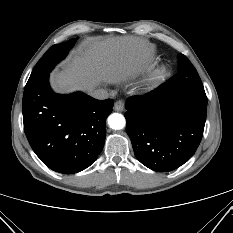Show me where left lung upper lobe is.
Listing matches in <instances>:
<instances>
[{
	"instance_id": "1",
	"label": "left lung upper lobe",
	"mask_w": 233,
	"mask_h": 233,
	"mask_svg": "<svg viewBox=\"0 0 233 233\" xmlns=\"http://www.w3.org/2000/svg\"><path fill=\"white\" fill-rule=\"evenodd\" d=\"M178 58V73L170 78L167 83L170 86L181 89L205 92L203 84L194 66L183 54H179Z\"/></svg>"
}]
</instances>
